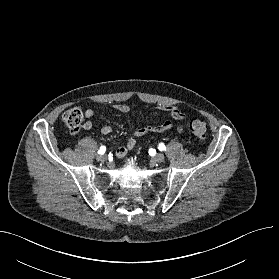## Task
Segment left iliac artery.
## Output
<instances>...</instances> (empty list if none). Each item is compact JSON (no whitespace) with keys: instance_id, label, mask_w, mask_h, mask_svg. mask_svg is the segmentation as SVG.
Listing matches in <instances>:
<instances>
[{"instance_id":"left-iliac-artery-1","label":"left iliac artery","mask_w":279,"mask_h":279,"mask_svg":"<svg viewBox=\"0 0 279 279\" xmlns=\"http://www.w3.org/2000/svg\"><path fill=\"white\" fill-rule=\"evenodd\" d=\"M158 149L160 151H164V150H166V147H165V145L163 143H161V144H159Z\"/></svg>"}]
</instances>
